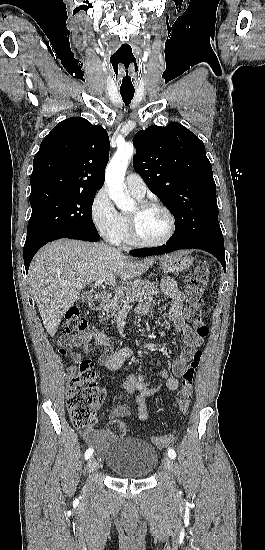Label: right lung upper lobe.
<instances>
[{
    "instance_id": "1",
    "label": "right lung upper lobe",
    "mask_w": 265,
    "mask_h": 550,
    "mask_svg": "<svg viewBox=\"0 0 265 550\" xmlns=\"http://www.w3.org/2000/svg\"><path fill=\"white\" fill-rule=\"evenodd\" d=\"M108 160L109 139L103 127L82 117L63 120L42 140L34 157L31 192L96 194Z\"/></svg>"
}]
</instances>
